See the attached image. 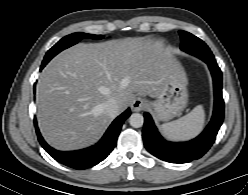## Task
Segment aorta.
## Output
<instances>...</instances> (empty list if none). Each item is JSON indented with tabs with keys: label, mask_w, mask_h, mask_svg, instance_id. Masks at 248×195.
Listing matches in <instances>:
<instances>
[{
	"label": "aorta",
	"mask_w": 248,
	"mask_h": 195,
	"mask_svg": "<svg viewBox=\"0 0 248 195\" xmlns=\"http://www.w3.org/2000/svg\"><path fill=\"white\" fill-rule=\"evenodd\" d=\"M129 123L132 127L134 128H140L143 126L144 123V117L142 114L140 113H133L130 117H129Z\"/></svg>",
	"instance_id": "aorta-1"
}]
</instances>
